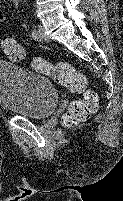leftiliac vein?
Here are the masks:
<instances>
[{
  "label": "left iliac vein",
  "mask_w": 123,
  "mask_h": 201,
  "mask_svg": "<svg viewBox=\"0 0 123 201\" xmlns=\"http://www.w3.org/2000/svg\"><path fill=\"white\" fill-rule=\"evenodd\" d=\"M37 32H38L37 40H39V41H41V40L50 41V38L45 34V30H44V27L42 25H39Z\"/></svg>",
  "instance_id": "obj_1"
}]
</instances>
